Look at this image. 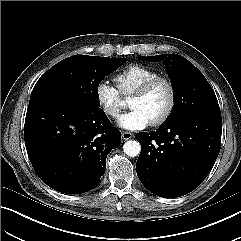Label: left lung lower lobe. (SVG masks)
Wrapping results in <instances>:
<instances>
[{"label": "left lung lower lobe", "instance_id": "0a47b994", "mask_svg": "<svg viewBox=\"0 0 241 241\" xmlns=\"http://www.w3.org/2000/svg\"><path fill=\"white\" fill-rule=\"evenodd\" d=\"M221 114L199 112L137 133L141 145L137 175L153 194L174 198L199 186L212 169L221 146Z\"/></svg>", "mask_w": 241, "mask_h": 241}]
</instances>
